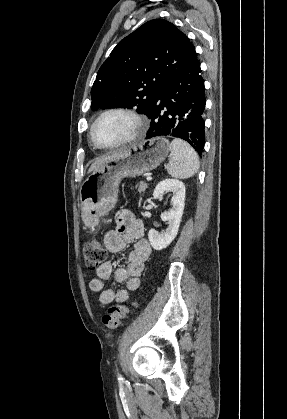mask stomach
Here are the masks:
<instances>
[{
	"mask_svg": "<svg viewBox=\"0 0 287 419\" xmlns=\"http://www.w3.org/2000/svg\"><path fill=\"white\" fill-rule=\"evenodd\" d=\"M170 143L155 137L122 150L116 157L94 170L80 188L84 218L96 222L115 206L123 178H131L158 167L167 157Z\"/></svg>",
	"mask_w": 287,
	"mask_h": 419,
	"instance_id": "0dacf381",
	"label": "stomach"
}]
</instances>
